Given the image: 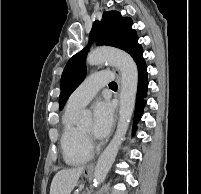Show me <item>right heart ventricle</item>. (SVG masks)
Listing matches in <instances>:
<instances>
[{"mask_svg": "<svg viewBox=\"0 0 201 194\" xmlns=\"http://www.w3.org/2000/svg\"><path fill=\"white\" fill-rule=\"evenodd\" d=\"M78 110L67 105L61 120V150L65 162L70 165L83 164L92 156L87 140L74 122Z\"/></svg>", "mask_w": 201, "mask_h": 194, "instance_id": "e07e8e85", "label": "right heart ventricle"}]
</instances>
